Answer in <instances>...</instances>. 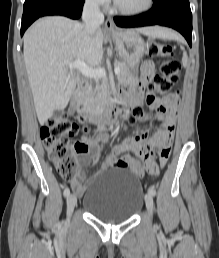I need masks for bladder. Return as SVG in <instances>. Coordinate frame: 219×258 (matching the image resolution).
<instances>
[{
  "instance_id": "31cf9c89",
  "label": "bladder",
  "mask_w": 219,
  "mask_h": 258,
  "mask_svg": "<svg viewBox=\"0 0 219 258\" xmlns=\"http://www.w3.org/2000/svg\"><path fill=\"white\" fill-rule=\"evenodd\" d=\"M143 197L137 176L124 169H110L90 179L82 205L96 218L116 224L131 219L142 207Z\"/></svg>"
}]
</instances>
